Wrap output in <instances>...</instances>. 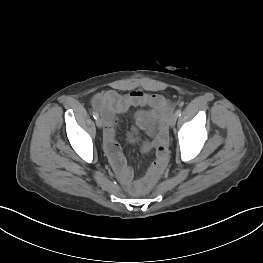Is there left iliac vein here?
<instances>
[{
    "label": "left iliac vein",
    "mask_w": 263,
    "mask_h": 263,
    "mask_svg": "<svg viewBox=\"0 0 263 263\" xmlns=\"http://www.w3.org/2000/svg\"><path fill=\"white\" fill-rule=\"evenodd\" d=\"M177 115H176V113H174V114H172L171 115V117H170V119H169V125H170V127H174L175 126V124H176V121H177Z\"/></svg>",
    "instance_id": "4c4485c4"
}]
</instances>
